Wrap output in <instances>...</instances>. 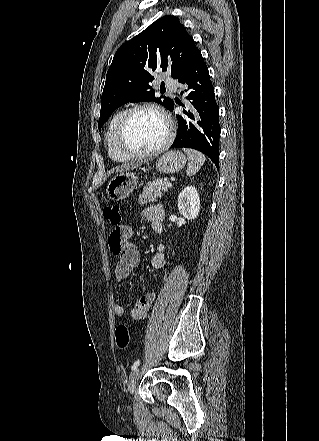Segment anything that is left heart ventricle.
Wrapping results in <instances>:
<instances>
[{"label":"left heart ventricle","instance_id":"1","mask_svg":"<svg viewBox=\"0 0 319 441\" xmlns=\"http://www.w3.org/2000/svg\"><path fill=\"white\" fill-rule=\"evenodd\" d=\"M123 137L128 148L139 152L149 151L164 141L166 125L155 112L138 111L130 118Z\"/></svg>","mask_w":319,"mask_h":441}]
</instances>
